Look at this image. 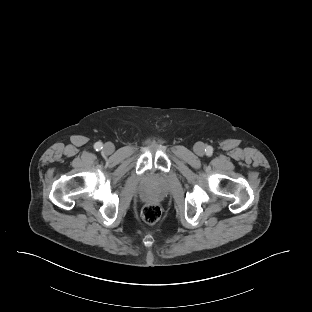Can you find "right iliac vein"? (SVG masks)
<instances>
[{
  "mask_svg": "<svg viewBox=\"0 0 312 312\" xmlns=\"http://www.w3.org/2000/svg\"><path fill=\"white\" fill-rule=\"evenodd\" d=\"M103 151L105 154H111L114 151V146L112 143L108 142L103 146Z\"/></svg>",
  "mask_w": 312,
  "mask_h": 312,
  "instance_id": "obj_1",
  "label": "right iliac vein"
}]
</instances>
